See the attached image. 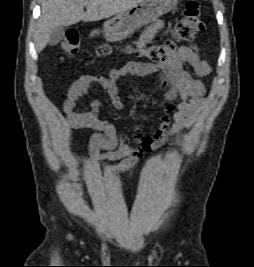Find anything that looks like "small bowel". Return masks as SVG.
Returning a JSON list of instances; mask_svg holds the SVG:
<instances>
[{"instance_id":"c3829d8e","label":"small bowel","mask_w":254,"mask_h":267,"mask_svg":"<svg viewBox=\"0 0 254 267\" xmlns=\"http://www.w3.org/2000/svg\"><path fill=\"white\" fill-rule=\"evenodd\" d=\"M162 23L157 21L149 26L141 36L138 45L145 46L152 40ZM187 64L198 77H206L211 72L210 65L201 59L195 45L182 46L168 60L158 63L130 62L123 67L113 68L107 75H83L75 81L63 103L67 125L73 129H92L88 153L93 161H118V164L104 169L93 168L87 173L94 177H111L136 166L145 153L157 150L168 131L180 141L183 131L196 120L205 95L203 82L192 76L184 68ZM156 75L164 91L167 102L165 114L161 117L160 128L150 137L141 135L138 119H133L134 138L139 146L133 148L126 135L119 134L116 127L100 112L101 103L93 100L91 109L79 112L76 106L93 84L101 86L108 94L113 107L123 109V102L117 88V81L125 76L144 77ZM178 100L177 103H175ZM171 118L173 122L171 123Z\"/></svg>"}]
</instances>
